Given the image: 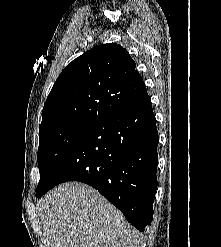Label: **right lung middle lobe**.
Wrapping results in <instances>:
<instances>
[{
  "mask_svg": "<svg viewBox=\"0 0 221 247\" xmlns=\"http://www.w3.org/2000/svg\"><path fill=\"white\" fill-rule=\"evenodd\" d=\"M94 126V124L89 123H69L39 131L38 165L40 181L36 193L48 182L68 152Z\"/></svg>",
  "mask_w": 221,
  "mask_h": 247,
  "instance_id": "right-lung-middle-lobe-1",
  "label": "right lung middle lobe"
}]
</instances>
